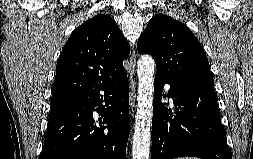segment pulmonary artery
<instances>
[{
    "mask_svg": "<svg viewBox=\"0 0 253 159\" xmlns=\"http://www.w3.org/2000/svg\"><path fill=\"white\" fill-rule=\"evenodd\" d=\"M166 89L168 90V89H169V87L167 86V87H166Z\"/></svg>",
    "mask_w": 253,
    "mask_h": 159,
    "instance_id": "e3ab8cb5",
    "label": "pulmonary artery"
}]
</instances>
